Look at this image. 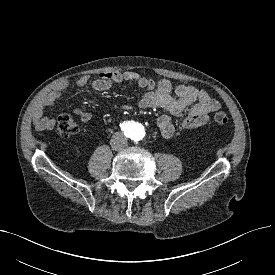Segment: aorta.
Wrapping results in <instances>:
<instances>
[{
	"label": "aorta",
	"mask_w": 275,
	"mask_h": 275,
	"mask_svg": "<svg viewBox=\"0 0 275 275\" xmlns=\"http://www.w3.org/2000/svg\"><path fill=\"white\" fill-rule=\"evenodd\" d=\"M126 131L129 133V135L133 138V139H140L142 136H143V126L142 124H139L137 122H132V123H129L127 126H126Z\"/></svg>",
	"instance_id": "obj_1"
}]
</instances>
